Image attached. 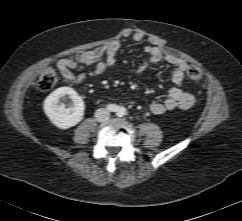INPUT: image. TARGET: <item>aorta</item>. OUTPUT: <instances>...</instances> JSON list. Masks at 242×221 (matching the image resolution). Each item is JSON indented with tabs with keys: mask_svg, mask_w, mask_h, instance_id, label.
I'll use <instances>...</instances> for the list:
<instances>
[{
	"mask_svg": "<svg viewBox=\"0 0 242 221\" xmlns=\"http://www.w3.org/2000/svg\"><path fill=\"white\" fill-rule=\"evenodd\" d=\"M117 113L120 114V115H124L126 113V109L124 107H120L118 110H117Z\"/></svg>",
	"mask_w": 242,
	"mask_h": 221,
	"instance_id": "762f6f07",
	"label": "aorta"
}]
</instances>
